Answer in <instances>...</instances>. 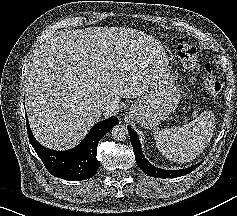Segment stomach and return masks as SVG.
<instances>
[{
	"label": "stomach",
	"mask_w": 237,
	"mask_h": 216,
	"mask_svg": "<svg viewBox=\"0 0 237 216\" xmlns=\"http://www.w3.org/2000/svg\"><path fill=\"white\" fill-rule=\"evenodd\" d=\"M178 88L173 83L153 84L138 102L131 105L129 114L141 126L150 128L168 117L179 102Z\"/></svg>",
	"instance_id": "obj_1"
}]
</instances>
